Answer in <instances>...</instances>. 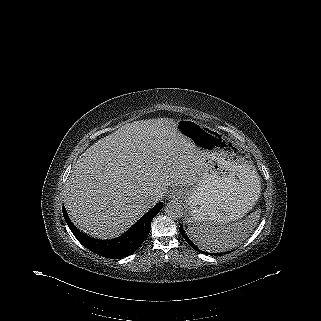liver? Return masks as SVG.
I'll return each mask as SVG.
<instances>
[{"label":"liver","mask_w":321,"mask_h":321,"mask_svg":"<svg viewBox=\"0 0 321 321\" xmlns=\"http://www.w3.org/2000/svg\"><path fill=\"white\" fill-rule=\"evenodd\" d=\"M176 147V151L167 148ZM204 169L198 149L168 118L134 121L91 145L64 191L65 208L83 232L100 239L124 233L168 193L195 184Z\"/></svg>","instance_id":"liver-1"}]
</instances>
